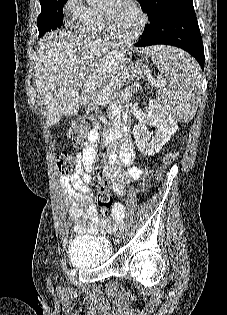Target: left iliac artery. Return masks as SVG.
Wrapping results in <instances>:
<instances>
[{
  "mask_svg": "<svg viewBox=\"0 0 227 315\" xmlns=\"http://www.w3.org/2000/svg\"><path fill=\"white\" fill-rule=\"evenodd\" d=\"M124 230H125V224L122 223V224L120 225V227H119V231H120V233H122Z\"/></svg>",
  "mask_w": 227,
  "mask_h": 315,
  "instance_id": "left-iliac-artery-1",
  "label": "left iliac artery"
}]
</instances>
